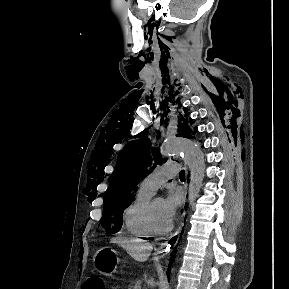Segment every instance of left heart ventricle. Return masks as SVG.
I'll return each mask as SVG.
<instances>
[{
    "label": "left heart ventricle",
    "mask_w": 289,
    "mask_h": 289,
    "mask_svg": "<svg viewBox=\"0 0 289 289\" xmlns=\"http://www.w3.org/2000/svg\"><path fill=\"white\" fill-rule=\"evenodd\" d=\"M153 213L159 226H167L170 221L167 220L164 213V202L162 198H156L153 203Z\"/></svg>",
    "instance_id": "obj_1"
}]
</instances>
